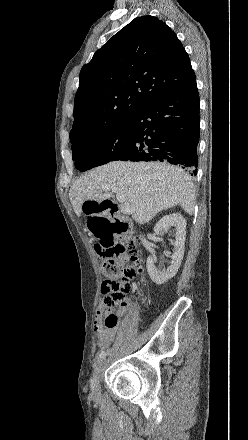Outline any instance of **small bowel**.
Wrapping results in <instances>:
<instances>
[{"label": "small bowel", "instance_id": "1", "mask_svg": "<svg viewBox=\"0 0 248 440\" xmlns=\"http://www.w3.org/2000/svg\"><path fill=\"white\" fill-rule=\"evenodd\" d=\"M114 313V311L111 310H107L101 307H98L97 312H96V316L94 319V330L95 333L97 335L98 341H97V345L99 347V349L104 350L107 349L111 343L114 341L115 336L117 334L118 331V327L117 325L114 327H107L104 323H103V314H108V313ZM125 312V306H122L119 310V314H123Z\"/></svg>", "mask_w": 248, "mask_h": 440}]
</instances>
